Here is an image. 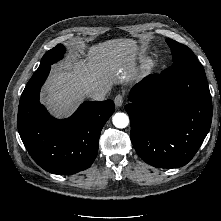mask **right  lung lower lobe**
I'll return each mask as SVG.
<instances>
[{"instance_id": "right-lung-lower-lobe-1", "label": "right lung lower lobe", "mask_w": 221, "mask_h": 221, "mask_svg": "<svg viewBox=\"0 0 221 221\" xmlns=\"http://www.w3.org/2000/svg\"><path fill=\"white\" fill-rule=\"evenodd\" d=\"M50 66L36 70L19 103L18 131L34 161L53 174L69 175L89 168L98 152L101 130L114 112L112 100L87 101L68 119L58 120L39 103Z\"/></svg>"}]
</instances>
